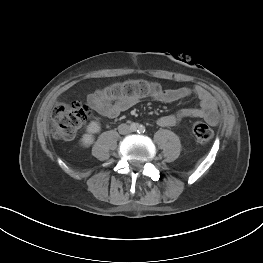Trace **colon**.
Returning <instances> with one entry per match:
<instances>
[{
    "instance_id": "5ec220e1",
    "label": "colon",
    "mask_w": 263,
    "mask_h": 263,
    "mask_svg": "<svg viewBox=\"0 0 263 263\" xmlns=\"http://www.w3.org/2000/svg\"><path fill=\"white\" fill-rule=\"evenodd\" d=\"M161 86L152 81L131 79L107 87L103 92L113 99L130 97L146 98L157 96L162 92ZM90 116L88 107L82 103L74 102L58 106L53 111L52 132L54 137L63 140L72 139ZM195 138L206 143L213 137L212 129L204 122H195L192 127Z\"/></svg>"
}]
</instances>
